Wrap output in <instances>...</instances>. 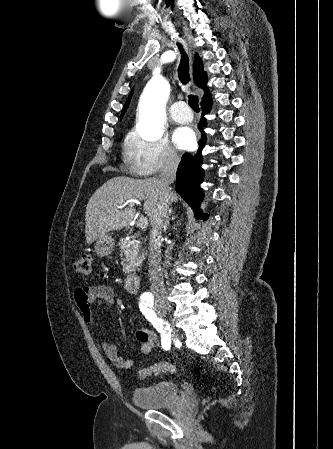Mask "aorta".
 I'll use <instances>...</instances> for the list:
<instances>
[{
	"instance_id": "1",
	"label": "aorta",
	"mask_w": 333,
	"mask_h": 449,
	"mask_svg": "<svg viewBox=\"0 0 333 449\" xmlns=\"http://www.w3.org/2000/svg\"><path fill=\"white\" fill-rule=\"evenodd\" d=\"M169 92L170 84L159 75L158 71L154 72L139 103V133L147 140H155L163 136Z\"/></svg>"
}]
</instances>
